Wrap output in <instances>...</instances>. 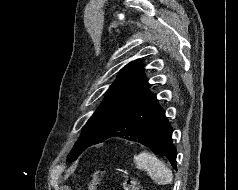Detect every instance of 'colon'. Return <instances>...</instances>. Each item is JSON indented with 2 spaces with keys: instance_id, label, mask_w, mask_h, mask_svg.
Masks as SVG:
<instances>
[{
  "instance_id": "5ec220e1",
  "label": "colon",
  "mask_w": 238,
  "mask_h": 190,
  "mask_svg": "<svg viewBox=\"0 0 238 190\" xmlns=\"http://www.w3.org/2000/svg\"><path fill=\"white\" fill-rule=\"evenodd\" d=\"M103 173V170H99L95 173L92 179L91 190L96 188L101 177L103 176ZM123 190H142V187L135 178L127 177L123 184Z\"/></svg>"
}]
</instances>
